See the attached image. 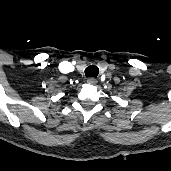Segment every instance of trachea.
I'll return each mask as SVG.
<instances>
[{
	"label": "trachea",
	"mask_w": 171,
	"mask_h": 171,
	"mask_svg": "<svg viewBox=\"0 0 171 171\" xmlns=\"http://www.w3.org/2000/svg\"><path fill=\"white\" fill-rule=\"evenodd\" d=\"M99 73V68L95 65H90L85 69L86 77H94L96 78Z\"/></svg>",
	"instance_id": "trachea-1"
}]
</instances>
